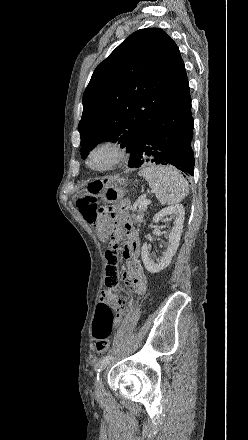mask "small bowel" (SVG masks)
<instances>
[{
	"label": "small bowel",
	"mask_w": 248,
	"mask_h": 440,
	"mask_svg": "<svg viewBox=\"0 0 248 440\" xmlns=\"http://www.w3.org/2000/svg\"><path fill=\"white\" fill-rule=\"evenodd\" d=\"M113 224L116 228V236L123 231L128 238L123 249V257L128 261V268L122 274V278L134 288L137 294L142 295L147 289V277L140 261L138 260L140 253V240L137 230L133 227L129 219L126 204L122 205L116 211ZM119 267V257L108 258L103 276L104 283L108 290L102 292L99 298V301L105 302L116 311V317L114 319L115 327L120 325L124 313V301L114 292L121 289V278L118 273Z\"/></svg>",
	"instance_id": "1"
}]
</instances>
